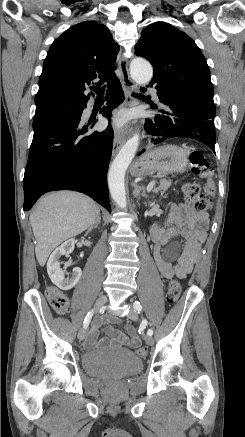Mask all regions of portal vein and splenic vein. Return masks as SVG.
<instances>
[{"mask_svg": "<svg viewBox=\"0 0 245 437\" xmlns=\"http://www.w3.org/2000/svg\"><path fill=\"white\" fill-rule=\"evenodd\" d=\"M155 184V181H151L147 186V192H150L153 189V186Z\"/></svg>", "mask_w": 245, "mask_h": 437, "instance_id": "portal-vein-and-splenic-vein-1", "label": "portal vein and splenic vein"}]
</instances>
